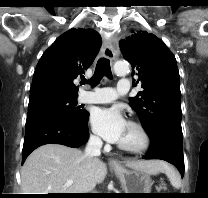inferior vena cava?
Listing matches in <instances>:
<instances>
[{
    "mask_svg": "<svg viewBox=\"0 0 208 198\" xmlns=\"http://www.w3.org/2000/svg\"><path fill=\"white\" fill-rule=\"evenodd\" d=\"M102 147V140L97 136H91L89 138V141L87 143V146L85 148V157L89 162H91L93 159L100 156ZM95 187V184L91 185V189Z\"/></svg>",
    "mask_w": 208,
    "mask_h": 198,
    "instance_id": "inferior-vena-cava-1",
    "label": "inferior vena cava"
}]
</instances>
